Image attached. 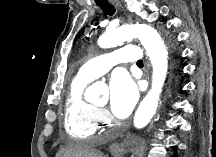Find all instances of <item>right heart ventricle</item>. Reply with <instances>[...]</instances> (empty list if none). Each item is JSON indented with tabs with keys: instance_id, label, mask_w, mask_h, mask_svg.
<instances>
[{
	"instance_id": "e07e8e85",
	"label": "right heart ventricle",
	"mask_w": 216,
	"mask_h": 157,
	"mask_svg": "<svg viewBox=\"0 0 216 157\" xmlns=\"http://www.w3.org/2000/svg\"><path fill=\"white\" fill-rule=\"evenodd\" d=\"M90 80L75 76L68 87L64 105V129L76 138H90L98 129V109L84 97Z\"/></svg>"
}]
</instances>
